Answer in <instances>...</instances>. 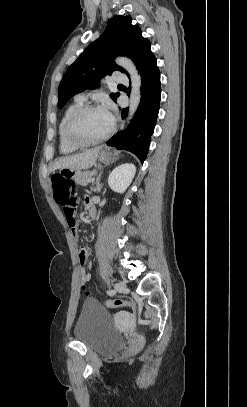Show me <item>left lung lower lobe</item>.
<instances>
[{
	"label": "left lung lower lobe",
	"instance_id": "left-lung-lower-lobe-1",
	"mask_svg": "<svg viewBox=\"0 0 247 407\" xmlns=\"http://www.w3.org/2000/svg\"><path fill=\"white\" fill-rule=\"evenodd\" d=\"M137 69L142 80L140 104L127 129L118 132L107 145L130 151L143 162L158 117L161 85L156 58L151 51L141 60ZM127 112L128 109H122V118L126 117Z\"/></svg>",
	"mask_w": 247,
	"mask_h": 407
}]
</instances>
